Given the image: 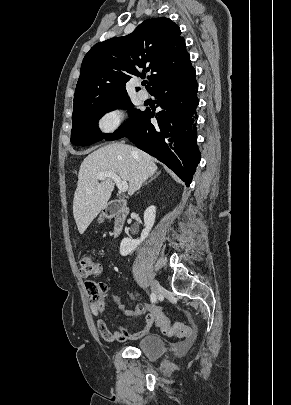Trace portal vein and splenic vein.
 <instances>
[{"instance_id":"18ae733b","label":"portal vein and splenic vein","mask_w":291,"mask_h":405,"mask_svg":"<svg viewBox=\"0 0 291 405\" xmlns=\"http://www.w3.org/2000/svg\"><path fill=\"white\" fill-rule=\"evenodd\" d=\"M106 178H111L115 182L120 192H126L128 190V183L126 181H122L116 173L101 172L97 174L98 180H105Z\"/></svg>"}]
</instances>
